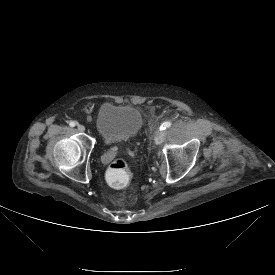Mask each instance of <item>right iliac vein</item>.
I'll return each instance as SVG.
<instances>
[{"label":"right iliac vein","instance_id":"obj_1","mask_svg":"<svg viewBox=\"0 0 275 275\" xmlns=\"http://www.w3.org/2000/svg\"><path fill=\"white\" fill-rule=\"evenodd\" d=\"M77 129H78L79 131H81V132H84V131H85V127H84L83 125H81V124H79V125L77 126Z\"/></svg>","mask_w":275,"mask_h":275}]
</instances>
